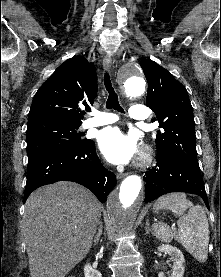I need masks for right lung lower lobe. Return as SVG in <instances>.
I'll list each match as a JSON object with an SVG mask.
<instances>
[{"label":"right lung lower lobe","mask_w":221,"mask_h":277,"mask_svg":"<svg viewBox=\"0 0 221 277\" xmlns=\"http://www.w3.org/2000/svg\"><path fill=\"white\" fill-rule=\"evenodd\" d=\"M61 180L87 187L101 202L106 201L117 182L115 174L101 164L94 141L87 140L67 151L28 163L24 202L36 188Z\"/></svg>","instance_id":"1"}]
</instances>
